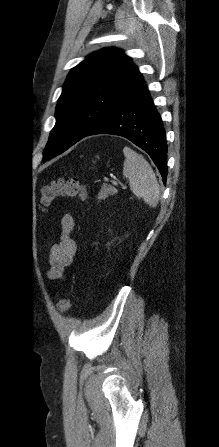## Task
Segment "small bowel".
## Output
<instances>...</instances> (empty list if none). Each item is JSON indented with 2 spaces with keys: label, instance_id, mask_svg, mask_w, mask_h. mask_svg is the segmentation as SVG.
I'll list each match as a JSON object with an SVG mask.
<instances>
[{
  "label": "small bowel",
  "instance_id": "small-bowel-1",
  "mask_svg": "<svg viewBox=\"0 0 219 447\" xmlns=\"http://www.w3.org/2000/svg\"><path fill=\"white\" fill-rule=\"evenodd\" d=\"M74 225V218L71 214H65L62 217L60 241L52 247L48 259L50 265L48 277L52 280L63 278L65 268L72 263L76 254V242L70 235Z\"/></svg>",
  "mask_w": 219,
  "mask_h": 447
}]
</instances>
